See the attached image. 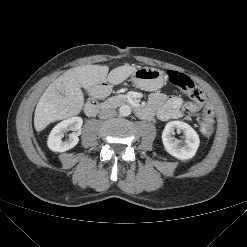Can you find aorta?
Listing matches in <instances>:
<instances>
[{"label":"aorta","instance_id":"762f6f07","mask_svg":"<svg viewBox=\"0 0 247 247\" xmlns=\"http://www.w3.org/2000/svg\"><path fill=\"white\" fill-rule=\"evenodd\" d=\"M132 110L131 107L129 105H122L119 108V113L122 116H129L131 114Z\"/></svg>","mask_w":247,"mask_h":247}]
</instances>
